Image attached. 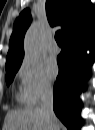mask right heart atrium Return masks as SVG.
I'll use <instances>...</instances> for the list:
<instances>
[{"mask_svg": "<svg viewBox=\"0 0 95 130\" xmlns=\"http://www.w3.org/2000/svg\"><path fill=\"white\" fill-rule=\"evenodd\" d=\"M18 77L29 104H36L52 93V83L39 65L23 63L18 70Z\"/></svg>", "mask_w": 95, "mask_h": 130, "instance_id": "obj_1", "label": "right heart atrium"}]
</instances>
